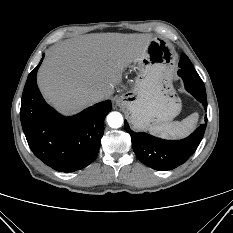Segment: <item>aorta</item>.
<instances>
[{
    "label": "aorta",
    "instance_id": "aorta-1",
    "mask_svg": "<svg viewBox=\"0 0 233 233\" xmlns=\"http://www.w3.org/2000/svg\"><path fill=\"white\" fill-rule=\"evenodd\" d=\"M107 123L111 128H119L123 124V117L119 112H111L107 116Z\"/></svg>",
    "mask_w": 233,
    "mask_h": 233
}]
</instances>
